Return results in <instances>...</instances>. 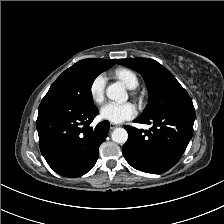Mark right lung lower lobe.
<instances>
[{"mask_svg":"<svg viewBox=\"0 0 224 224\" xmlns=\"http://www.w3.org/2000/svg\"><path fill=\"white\" fill-rule=\"evenodd\" d=\"M97 108H78L59 99L44 97L38 112L37 130L41 153L48 165L65 177H78L95 165L99 146L108 135L109 122L95 128L90 123Z\"/></svg>","mask_w":224,"mask_h":224,"instance_id":"right-lung-lower-lobe-1","label":"right lung lower lobe"}]
</instances>
